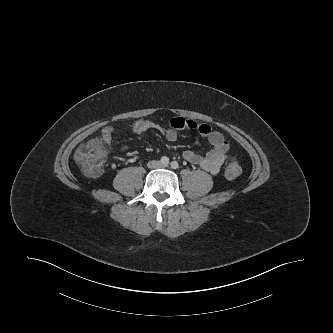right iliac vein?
Instances as JSON below:
<instances>
[{
  "mask_svg": "<svg viewBox=\"0 0 333 333\" xmlns=\"http://www.w3.org/2000/svg\"><path fill=\"white\" fill-rule=\"evenodd\" d=\"M155 167H159L160 165L157 163V164H154Z\"/></svg>",
  "mask_w": 333,
  "mask_h": 333,
  "instance_id": "63e3f726",
  "label": "right iliac vein"
}]
</instances>
